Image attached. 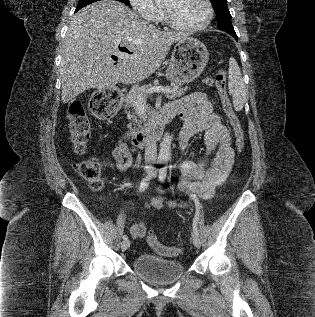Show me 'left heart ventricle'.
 Segmentation results:
<instances>
[{"label": "left heart ventricle", "mask_w": 315, "mask_h": 317, "mask_svg": "<svg viewBox=\"0 0 315 317\" xmlns=\"http://www.w3.org/2000/svg\"><path fill=\"white\" fill-rule=\"evenodd\" d=\"M163 8L179 24L197 26L207 17V8L203 0H166Z\"/></svg>", "instance_id": "obj_1"}]
</instances>
